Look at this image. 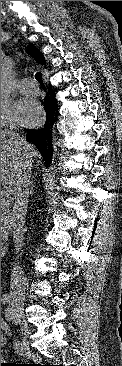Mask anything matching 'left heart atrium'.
Returning <instances> with one entry per match:
<instances>
[{"label": "left heart atrium", "instance_id": "left-heart-atrium-1", "mask_svg": "<svg viewBox=\"0 0 122 366\" xmlns=\"http://www.w3.org/2000/svg\"><path fill=\"white\" fill-rule=\"evenodd\" d=\"M14 118L24 126L36 125L42 118V109L31 99H20L14 107Z\"/></svg>", "mask_w": 122, "mask_h": 366}]
</instances>
